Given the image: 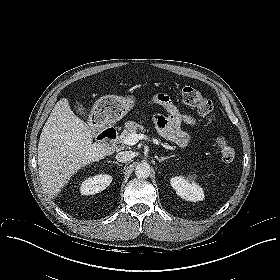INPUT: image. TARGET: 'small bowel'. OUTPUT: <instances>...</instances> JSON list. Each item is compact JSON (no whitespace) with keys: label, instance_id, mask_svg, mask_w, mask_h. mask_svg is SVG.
<instances>
[{"label":"small bowel","instance_id":"obj_1","mask_svg":"<svg viewBox=\"0 0 280 280\" xmlns=\"http://www.w3.org/2000/svg\"><path fill=\"white\" fill-rule=\"evenodd\" d=\"M149 105L160 107L166 112L153 115L160 134L180 148L186 147L190 142V135L182 129V125L195 127L198 125L197 119L193 115L181 113L164 94L153 97Z\"/></svg>","mask_w":280,"mask_h":280}]
</instances>
